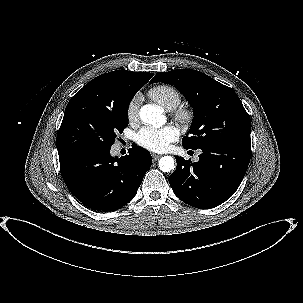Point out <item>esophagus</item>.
Masks as SVG:
<instances>
[{
	"mask_svg": "<svg viewBox=\"0 0 303 303\" xmlns=\"http://www.w3.org/2000/svg\"><path fill=\"white\" fill-rule=\"evenodd\" d=\"M161 157L160 154H152V158L154 161L158 160Z\"/></svg>",
	"mask_w": 303,
	"mask_h": 303,
	"instance_id": "obj_1",
	"label": "esophagus"
}]
</instances>
